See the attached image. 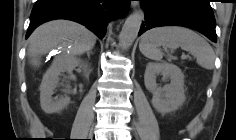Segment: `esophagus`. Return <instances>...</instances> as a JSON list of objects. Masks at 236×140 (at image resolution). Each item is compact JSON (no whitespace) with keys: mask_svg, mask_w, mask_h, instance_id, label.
Instances as JSON below:
<instances>
[{"mask_svg":"<svg viewBox=\"0 0 236 140\" xmlns=\"http://www.w3.org/2000/svg\"><path fill=\"white\" fill-rule=\"evenodd\" d=\"M131 5H132V7H136L137 2L133 1V2L131 3Z\"/></svg>","mask_w":236,"mask_h":140,"instance_id":"obj_1","label":"esophagus"}]
</instances>
